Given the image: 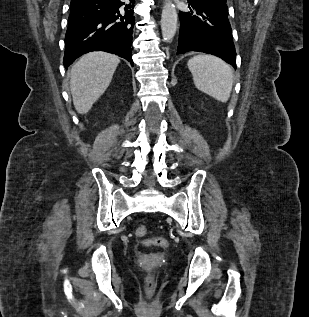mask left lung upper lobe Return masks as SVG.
Returning <instances> with one entry per match:
<instances>
[{"label": "left lung upper lobe", "mask_w": 309, "mask_h": 317, "mask_svg": "<svg viewBox=\"0 0 309 317\" xmlns=\"http://www.w3.org/2000/svg\"><path fill=\"white\" fill-rule=\"evenodd\" d=\"M188 1L189 3H193L196 5L227 9L226 0H188Z\"/></svg>", "instance_id": "1"}]
</instances>
